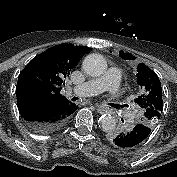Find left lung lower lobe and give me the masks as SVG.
<instances>
[{"label":"left lung lower lobe","instance_id":"obj_1","mask_svg":"<svg viewBox=\"0 0 177 177\" xmlns=\"http://www.w3.org/2000/svg\"><path fill=\"white\" fill-rule=\"evenodd\" d=\"M151 128L139 123L128 131H122L111 135L114 145L121 148H132L140 145L150 135Z\"/></svg>","mask_w":177,"mask_h":177}]
</instances>
